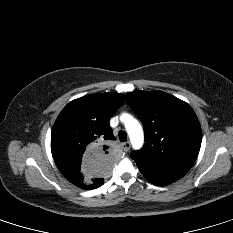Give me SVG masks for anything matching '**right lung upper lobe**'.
<instances>
[{"label": "right lung upper lobe", "instance_id": "right-lung-upper-lobe-1", "mask_svg": "<svg viewBox=\"0 0 233 233\" xmlns=\"http://www.w3.org/2000/svg\"><path fill=\"white\" fill-rule=\"evenodd\" d=\"M125 96L90 94L68 103L51 133V152L64 177L74 185L101 184L112 175L118 153L109 120Z\"/></svg>", "mask_w": 233, "mask_h": 233}]
</instances>
